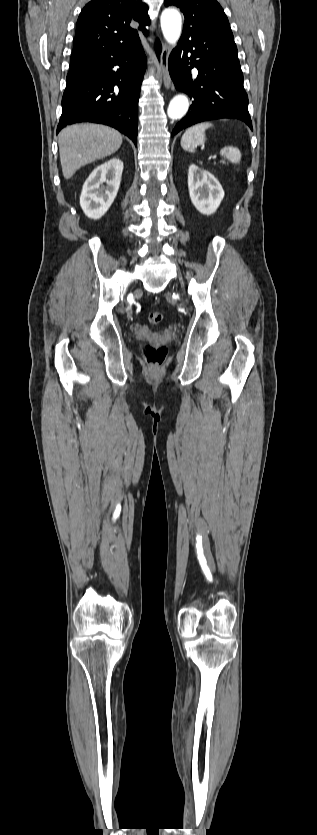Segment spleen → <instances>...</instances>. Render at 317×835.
Instances as JSON below:
<instances>
[{
    "label": "spleen",
    "mask_w": 317,
    "mask_h": 835,
    "mask_svg": "<svg viewBox=\"0 0 317 835\" xmlns=\"http://www.w3.org/2000/svg\"><path fill=\"white\" fill-rule=\"evenodd\" d=\"M212 126V123L202 122L188 128L181 138V147L188 152H195L198 145L205 144V131ZM220 155L232 164H238L241 159L240 150L235 146L223 147Z\"/></svg>",
    "instance_id": "spleen-1"
}]
</instances>
